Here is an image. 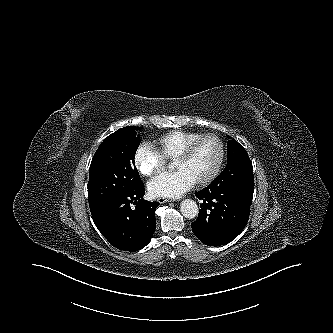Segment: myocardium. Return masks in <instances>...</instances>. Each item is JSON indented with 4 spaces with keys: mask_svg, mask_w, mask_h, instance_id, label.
I'll use <instances>...</instances> for the list:
<instances>
[{
    "mask_svg": "<svg viewBox=\"0 0 333 333\" xmlns=\"http://www.w3.org/2000/svg\"><path fill=\"white\" fill-rule=\"evenodd\" d=\"M205 138H212L218 143L219 156L212 172L206 178L195 182L198 186L209 185L219 176L225 159V147L223 141L216 134L213 133L201 134L198 137L192 139L190 142H188L186 146L183 148V150L180 152V154L174 159V162H180L186 160L191 155L196 145Z\"/></svg>",
    "mask_w": 333,
    "mask_h": 333,
    "instance_id": "1",
    "label": "myocardium"
}]
</instances>
